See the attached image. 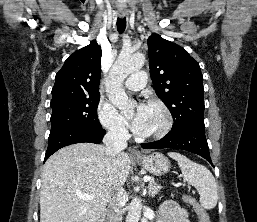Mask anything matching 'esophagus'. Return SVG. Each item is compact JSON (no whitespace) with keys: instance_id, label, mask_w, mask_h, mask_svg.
Instances as JSON below:
<instances>
[{"instance_id":"esophagus-1","label":"esophagus","mask_w":257,"mask_h":222,"mask_svg":"<svg viewBox=\"0 0 257 222\" xmlns=\"http://www.w3.org/2000/svg\"><path fill=\"white\" fill-rule=\"evenodd\" d=\"M126 15V13L124 11H120L119 12V16L120 17H124ZM131 155L133 157H140L141 156V153L139 152V150L137 148H132L131 150Z\"/></svg>"}]
</instances>
